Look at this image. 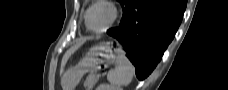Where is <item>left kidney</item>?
Instances as JSON below:
<instances>
[{"instance_id":"obj_1","label":"left kidney","mask_w":228,"mask_h":90,"mask_svg":"<svg viewBox=\"0 0 228 90\" xmlns=\"http://www.w3.org/2000/svg\"><path fill=\"white\" fill-rule=\"evenodd\" d=\"M96 90H123V88L117 86H110L108 84H101L100 86H98V88H96Z\"/></svg>"}]
</instances>
